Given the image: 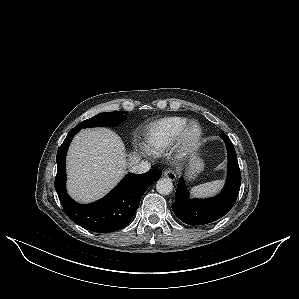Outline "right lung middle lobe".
Here are the masks:
<instances>
[{
  "instance_id": "right-lung-middle-lobe-1",
  "label": "right lung middle lobe",
  "mask_w": 299,
  "mask_h": 299,
  "mask_svg": "<svg viewBox=\"0 0 299 299\" xmlns=\"http://www.w3.org/2000/svg\"><path fill=\"white\" fill-rule=\"evenodd\" d=\"M126 119L124 112H105L98 114L90 119L84 120L75 128H90V127H104V126H115L123 122Z\"/></svg>"
}]
</instances>
